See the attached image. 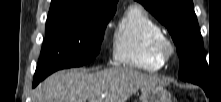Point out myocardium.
I'll use <instances>...</instances> for the list:
<instances>
[{
    "label": "myocardium",
    "mask_w": 221,
    "mask_h": 102,
    "mask_svg": "<svg viewBox=\"0 0 221 102\" xmlns=\"http://www.w3.org/2000/svg\"><path fill=\"white\" fill-rule=\"evenodd\" d=\"M152 52L154 56L165 63L174 55L175 47L173 42L168 37L163 35L154 41L152 45Z\"/></svg>",
    "instance_id": "f54148a6"
}]
</instances>
